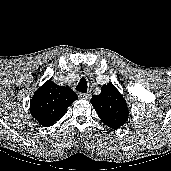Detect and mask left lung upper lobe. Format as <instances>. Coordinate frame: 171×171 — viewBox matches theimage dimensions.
Instances as JSON below:
<instances>
[{
    "label": "left lung upper lobe",
    "instance_id": "obj_1",
    "mask_svg": "<svg viewBox=\"0 0 171 171\" xmlns=\"http://www.w3.org/2000/svg\"><path fill=\"white\" fill-rule=\"evenodd\" d=\"M91 104L102 122L112 129H118L128 121L127 104L112 83L101 87L99 95H93Z\"/></svg>",
    "mask_w": 171,
    "mask_h": 171
}]
</instances>
